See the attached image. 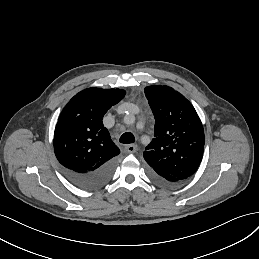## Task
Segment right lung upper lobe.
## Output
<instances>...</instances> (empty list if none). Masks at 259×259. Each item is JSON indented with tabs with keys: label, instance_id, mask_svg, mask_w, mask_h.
I'll list each match as a JSON object with an SVG mask.
<instances>
[{
	"label": "right lung upper lobe",
	"instance_id": "right-lung-upper-lobe-1",
	"mask_svg": "<svg viewBox=\"0 0 259 259\" xmlns=\"http://www.w3.org/2000/svg\"><path fill=\"white\" fill-rule=\"evenodd\" d=\"M124 96V90L94 87L68 102L58 119L53 141L55 155L64 168L92 171L120 153L102 119Z\"/></svg>",
	"mask_w": 259,
	"mask_h": 259
}]
</instances>
